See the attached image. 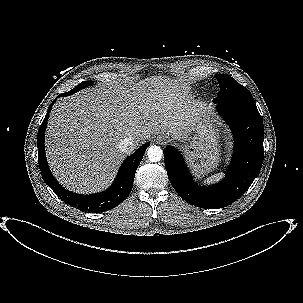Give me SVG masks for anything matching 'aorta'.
I'll return each mask as SVG.
<instances>
[{
	"label": "aorta",
	"instance_id": "aorta-1",
	"mask_svg": "<svg viewBox=\"0 0 303 303\" xmlns=\"http://www.w3.org/2000/svg\"><path fill=\"white\" fill-rule=\"evenodd\" d=\"M148 159L151 162H158L163 157V151L159 146L152 145L147 149Z\"/></svg>",
	"mask_w": 303,
	"mask_h": 303
}]
</instances>
